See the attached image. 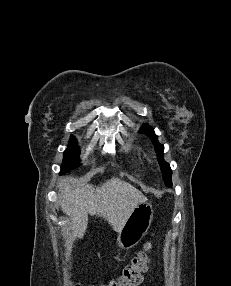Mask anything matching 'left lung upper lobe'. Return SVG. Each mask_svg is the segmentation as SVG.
Instances as JSON below:
<instances>
[{
    "label": "left lung upper lobe",
    "mask_w": 231,
    "mask_h": 286,
    "mask_svg": "<svg viewBox=\"0 0 231 286\" xmlns=\"http://www.w3.org/2000/svg\"><path fill=\"white\" fill-rule=\"evenodd\" d=\"M140 132L146 133L149 137H151V140L154 142L155 151L157 154L158 162L160 164L163 179H164L165 184L167 186H171L172 185V183H171L172 171L170 169V166L163 159L164 147L162 145H160V143L157 141V136L155 135L154 130L150 126L143 125L141 127Z\"/></svg>",
    "instance_id": "left-lung-upper-lobe-1"
}]
</instances>
